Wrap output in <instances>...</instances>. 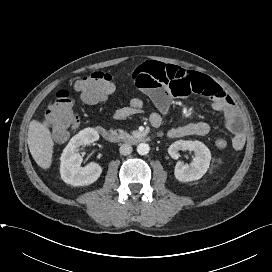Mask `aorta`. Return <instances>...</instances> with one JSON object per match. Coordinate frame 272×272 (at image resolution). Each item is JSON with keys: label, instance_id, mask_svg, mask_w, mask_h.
<instances>
[{"label": "aorta", "instance_id": "1", "mask_svg": "<svg viewBox=\"0 0 272 272\" xmlns=\"http://www.w3.org/2000/svg\"><path fill=\"white\" fill-rule=\"evenodd\" d=\"M149 150H150V147H149V145L147 143H140L137 146V152L140 155H146V154H148Z\"/></svg>", "mask_w": 272, "mask_h": 272}]
</instances>
